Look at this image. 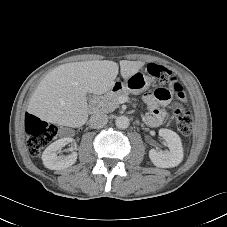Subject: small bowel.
I'll list each match as a JSON object with an SVG mask.
<instances>
[{
    "label": "small bowel",
    "instance_id": "obj_1",
    "mask_svg": "<svg viewBox=\"0 0 227 227\" xmlns=\"http://www.w3.org/2000/svg\"><path fill=\"white\" fill-rule=\"evenodd\" d=\"M170 97L171 90L168 87H160L153 93L144 95V102L148 107V112L145 114V121L149 126H159L167 119L168 113L160 106L167 105Z\"/></svg>",
    "mask_w": 227,
    "mask_h": 227
}]
</instances>
